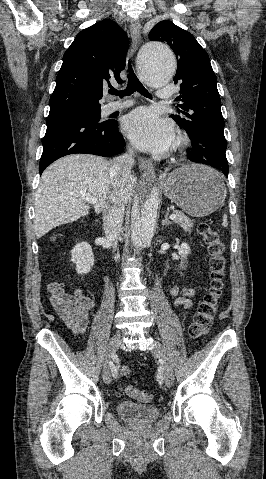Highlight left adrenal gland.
Masks as SVG:
<instances>
[{
	"mask_svg": "<svg viewBox=\"0 0 266 479\" xmlns=\"http://www.w3.org/2000/svg\"><path fill=\"white\" fill-rule=\"evenodd\" d=\"M172 225V222L168 220V213L165 214L164 220H162V226Z\"/></svg>",
	"mask_w": 266,
	"mask_h": 479,
	"instance_id": "1",
	"label": "left adrenal gland"
}]
</instances>
